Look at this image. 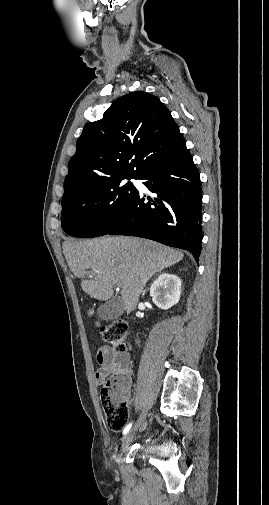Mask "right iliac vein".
I'll list each match as a JSON object with an SVG mask.
<instances>
[{
    "mask_svg": "<svg viewBox=\"0 0 269 505\" xmlns=\"http://www.w3.org/2000/svg\"><path fill=\"white\" fill-rule=\"evenodd\" d=\"M146 410H144L138 419L137 423L134 425V427L124 436L122 439V449H126L129 444L132 442L135 433L137 430L144 424L145 418H146Z\"/></svg>",
    "mask_w": 269,
    "mask_h": 505,
    "instance_id": "obj_1",
    "label": "right iliac vein"
}]
</instances>
